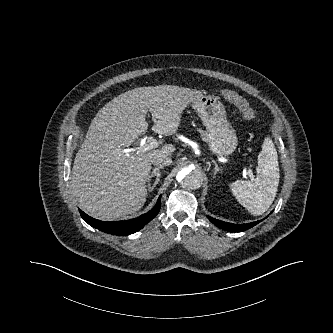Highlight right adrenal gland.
Returning <instances> with one entry per match:
<instances>
[{"label":"right adrenal gland","mask_w":333,"mask_h":333,"mask_svg":"<svg viewBox=\"0 0 333 333\" xmlns=\"http://www.w3.org/2000/svg\"><path fill=\"white\" fill-rule=\"evenodd\" d=\"M163 167L162 166H160V167H157V168H154L153 169V171H152V173L149 175V177H148V186H149V191L151 192V191H153V189L156 187V185L158 184V182H159V177H160V170L162 169ZM156 176V179H155V182L153 183V185L151 186V184H150V181H151V179L153 178V177H155Z\"/></svg>","instance_id":"right-adrenal-gland-1"}]
</instances>
